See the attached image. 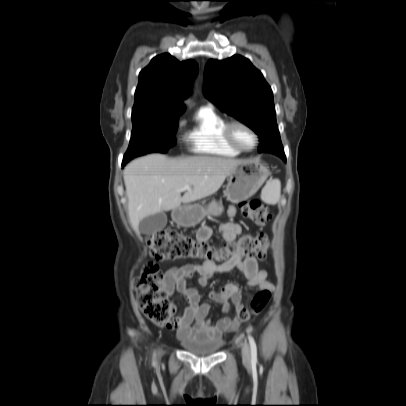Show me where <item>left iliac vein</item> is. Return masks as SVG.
<instances>
[{"label": "left iliac vein", "instance_id": "left-iliac-vein-1", "mask_svg": "<svg viewBox=\"0 0 406 406\" xmlns=\"http://www.w3.org/2000/svg\"><path fill=\"white\" fill-rule=\"evenodd\" d=\"M242 359L247 365H249L251 362L250 348L246 342L242 344Z\"/></svg>", "mask_w": 406, "mask_h": 406}]
</instances>
